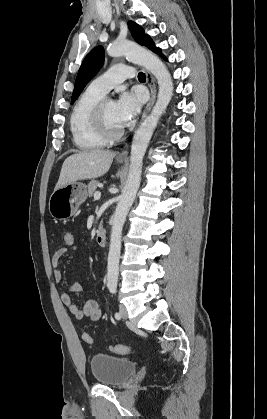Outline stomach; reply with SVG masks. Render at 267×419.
<instances>
[{"label": "stomach", "mask_w": 267, "mask_h": 419, "mask_svg": "<svg viewBox=\"0 0 267 419\" xmlns=\"http://www.w3.org/2000/svg\"><path fill=\"white\" fill-rule=\"evenodd\" d=\"M122 163L123 161H118ZM88 196L85 184L74 181L66 186L55 189L49 199V212L58 220H65L72 217L79 206Z\"/></svg>", "instance_id": "stomach-1"}]
</instances>
